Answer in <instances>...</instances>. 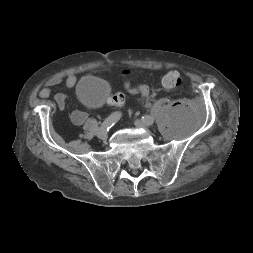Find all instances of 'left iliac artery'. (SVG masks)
Here are the masks:
<instances>
[{"label":"left iliac artery","instance_id":"left-iliac-artery-1","mask_svg":"<svg viewBox=\"0 0 253 253\" xmlns=\"http://www.w3.org/2000/svg\"><path fill=\"white\" fill-rule=\"evenodd\" d=\"M153 118V117H152ZM142 121L144 122V123H146L147 125H149V126H151V125H153V120H151V116H149V115H145V116H143L142 117Z\"/></svg>","mask_w":253,"mask_h":253}]
</instances>
